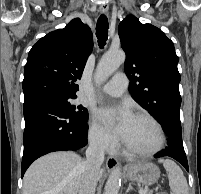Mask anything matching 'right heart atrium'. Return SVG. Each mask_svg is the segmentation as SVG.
Wrapping results in <instances>:
<instances>
[{
  "instance_id": "d8ad5b80",
  "label": "right heart atrium",
  "mask_w": 201,
  "mask_h": 194,
  "mask_svg": "<svg viewBox=\"0 0 201 194\" xmlns=\"http://www.w3.org/2000/svg\"><path fill=\"white\" fill-rule=\"evenodd\" d=\"M88 139L92 147L101 152L112 151L117 145L116 139L95 120L89 123Z\"/></svg>"
}]
</instances>
